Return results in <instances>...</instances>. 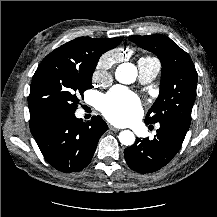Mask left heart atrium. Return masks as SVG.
<instances>
[{
    "label": "left heart atrium",
    "instance_id": "1",
    "mask_svg": "<svg viewBox=\"0 0 217 217\" xmlns=\"http://www.w3.org/2000/svg\"><path fill=\"white\" fill-rule=\"evenodd\" d=\"M101 111L111 122L126 125L141 113L138 97L123 87L113 88L102 100Z\"/></svg>",
    "mask_w": 217,
    "mask_h": 217
}]
</instances>
